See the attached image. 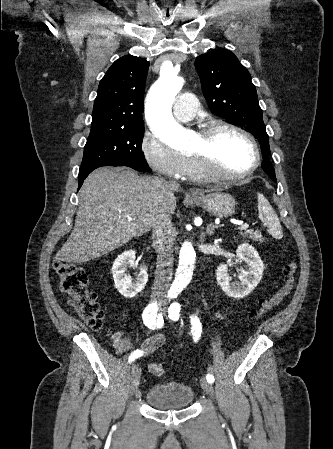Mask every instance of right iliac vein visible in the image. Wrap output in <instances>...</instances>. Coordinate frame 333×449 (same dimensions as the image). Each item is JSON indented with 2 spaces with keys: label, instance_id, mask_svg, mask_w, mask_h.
<instances>
[{
  "label": "right iliac vein",
  "instance_id": "right-iliac-vein-1",
  "mask_svg": "<svg viewBox=\"0 0 333 449\" xmlns=\"http://www.w3.org/2000/svg\"><path fill=\"white\" fill-rule=\"evenodd\" d=\"M140 377H141L140 368L136 364H133L131 371V393H134L135 390L137 389L140 382Z\"/></svg>",
  "mask_w": 333,
  "mask_h": 449
}]
</instances>
